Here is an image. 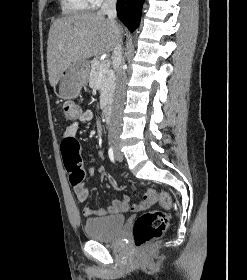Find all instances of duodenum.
Wrapping results in <instances>:
<instances>
[{"mask_svg": "<svg viewBox=\"0 0 247 280\" xmlns=\"http://www.w3.org/2000/svg\"><path fill=\"white\" fill-rule=\"evenodd\" d=\"M103 118L106 122H109L111 120V109H110V107H105L103 109Z\"/></svg>", "mask_w": 247, "mask_h": 280, "instance_id": "1", "label": "duodenum"}]
</instances>
